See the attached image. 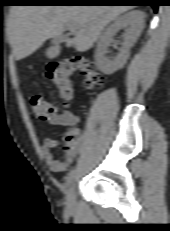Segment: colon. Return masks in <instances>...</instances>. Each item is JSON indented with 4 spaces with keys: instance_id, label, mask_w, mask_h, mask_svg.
Returning a JSON list of instances; mask_svg holds the SVG:
<instances>
[{
    "instance_id": "5ec220e1",
    "label": "colon",
    "mask_w": 170,
    "mask_h": 231,
    "mask_svg": "<svg viewBox=\"0 0 170 231\" xmlns=\"http://www.w3.org/2000/svg\"><path fill=\"white\" fill-rule=\"evenodd\" d=\"M76 73L82 76L85 88L93 89L103 85L104 79L97 67L91 61L82 57H66L47 66L46 76L55 85L64 100L72 95V78ZM33 113L41 120H49L57 112L55 107L42 96L34 94L30 97ZM81 132L77 127L67 130L65 141L71 146L79 141Z\"/></svg>"
}]
</instances>
